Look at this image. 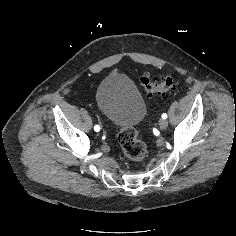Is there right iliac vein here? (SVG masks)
Wrapping results in <instances>:
<instances>
[{"label":"right iliac vein","instance_id":"63e3f726","mask_svg":"<svg viewBox=\"0 0 236 236\" xmlns=\"http://www.w3.org/2000/svg\"><path fill=\"white\" fill-rule=\"evenodd\" d=\"M98 114H99V113H96L95 117H96V121H97L98 124L101 126V125H103V124L100 122L99 117H98ZM100 129L103 130L104 128L101 126Z\"/></svg>","mask_w":236,"mask_h":236}]
</instances>
